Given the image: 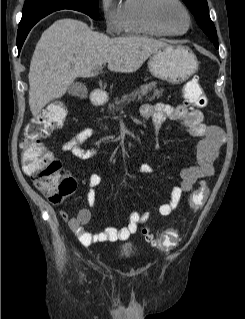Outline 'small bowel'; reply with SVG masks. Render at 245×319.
Wrapping results in <instances>:
<instances>
[{"label":"small bowel","instance_id":"1","mask_svg":"<svg viewBox=\"0 0 245 319\" xmlns=\"http://www.w3.org/2000/svg\"><path fill=\"white\" fill-rule=\"evenodd\" d=\"M140 114L144 118L151 119L156 129L160 128L166 121L178 122L186 133L199 142L196 147V164L186 167L181 171V182L171 189L170 199L161 204L157 214L168 216L177 209L182 195L190 192L194 185L202 178L213 173V164L217 157L218 150L224 142V132L216 126L203 123V113L186 105L172 106L165 103L156 105L144 104L140 108ZM94 137V130L85 128L62 144L61 149L69 152L77 158L88 159L94 156L96 149H84L82 146L89 139ZM142 171L151 173L149 166L142 167ZM103 182V176L99 173L91 174L87 179L88 190L86 193L90 207L96 202L95 188ZM62 220L66 221L71 231L76 235L82 245L89 246L98 242H119L127 240L135 234L140 226L152 218L150 211L143 213L133 210L129 215L128 224L125 227H108L102 231L91 233L85 225L90 221L91 212L89 209H82L75 217L70 218L68 212L61 210L59 213Z\"/></svg>","mask_w":245,"mask_h":319}]
</instances>
